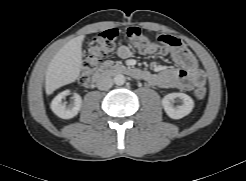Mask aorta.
Masks as SVG:
<instances>
[{
    "label": "aorta",
    "instance_id": "762f6f07",
    "mask_svg": "<svg viewBox=\"0 0 246 181\" xmlns=\"http://www.w3.org/2000/svg\"><path fill=\"white\" fill-rule=\"evenodd\" d=\"M125 81H126V78L123 74H117L113 78V82L118 86L123 85Z\"/></svg>",
    "mask_w": 246,
    "mask_h": 181
}]
</instances>
